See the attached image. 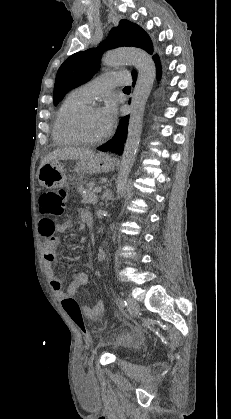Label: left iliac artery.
I'll return each instance as SVG.
<instances>
[{
    "mask_svg": "<svg viewBox=\"0 0 231 419\" xmlns=\"http://www.w3.org/2000/svg\"><path fill=\"white\" fill-rule=\"evenodd\" d=\"M120 306H121V307H125V306H127V301H126V300H121V301H120Z\"/></svg>",
    "mask_w": 231,
    "mask_h": 419,
    "instance_id": "1",
    "label": "left iliac artery"
}]
</instances>
